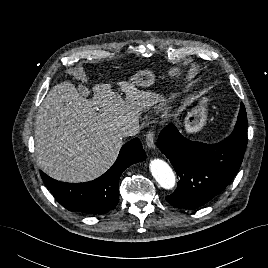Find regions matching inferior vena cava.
I'll list each match as a JSON object with an SVG mask.
<instances>
[{
  "mask_svg": "<svg viewBox=\"0 0 268 268\" xmlns=\"http://www.w3.org/2000/svg\"><path fill=\"white\" fill-rule=\"evenodd\" d=\"M138 132H139V125L135 124V125L124 127L121 135L122 136H135L136 134H138Z\"/></svg>",
  "mask_w": 268,
  "mask_h": 268,
  "instance_id": "inferior-vena-cava-1",
  "label": "inferior vena cava"
}]
</instances>
